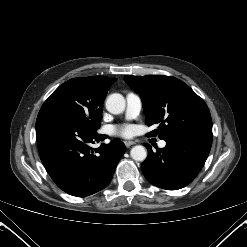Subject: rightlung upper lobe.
<instances>
[{"label": "right lung upper lobe", "instance_id": "1", "mask_svg": "<svg viewBox=\"0 0 247 247\" xmlns=\"http://www.w3.org/2000/svg\"><path fill=\"white\" fill-rule=\"evenodd\" d=\"M87 81L92 83L97 87V89L106 96V93L110 86L116 81V78H108V77H84Z\"/></svg>", "mask_w": 247, "mask_h": 247}]
</instances>
